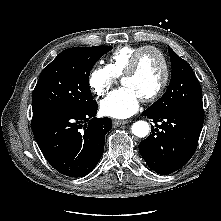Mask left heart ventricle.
<instances>
[{"label":"left heart ventricle","instance_id":"left-heart-ventricle-1","mask_svg":"<svg viewBox=\"0 0 221 221\" xmlns=\"http://www.w3.org/2000/svg\"><path fill=\"white\" fill-rule=\"evenodd\" d=\"M162 77V60L156 52L151 51L142 55L137 71L124 78L121 83L130 87L142 99L155 91Z\"/></svg>","mask_w":221,"mask_h":221}]
</instances>
